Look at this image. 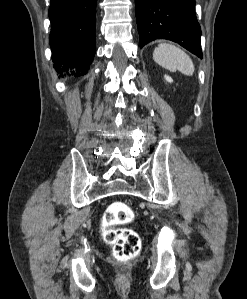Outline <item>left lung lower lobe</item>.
I'll return each instance as SVG.
<instances>
[{
	"instance_id": "left-lung-lower-lobe-1",
	"label": "left lung lower lobe",
	"mask_w": 247,
	"mask_h": 299,
	"mask_svg": "<svg viewBox=\"0 0 247 299\" xmlns=\"http://www.w3.org/2000/svg\"><path fill=\"white\" fill-rule=\"evenodd\" d=\"M135 9L140 48L161 38L202 58L195 0H135Z\"/></svg>"
}]
</instances>
